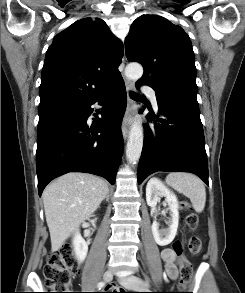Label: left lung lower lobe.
Returning <instances> with one entry per match:
<instances>
[{
  "label": "left lung lower lobe",
  "instance_id": "0a47b994",
  "mask_svg": "<svg viewBox=\"0 0 245 293\" xmlns=\"http://www.w3.org/2000/svg\"><path fill=\"white\" fill-rule=\"evenodd\" d=\"M142 83L137 82L138 87ZM159 115L144 125V143L138 165V184L157 171H182L199 176L208 185V162L199 108L174 100H158ZM142 112V111H141Z\"/></svg>",
  "mask_w": 245,
  "mask_h": 293
}]
</instances>
